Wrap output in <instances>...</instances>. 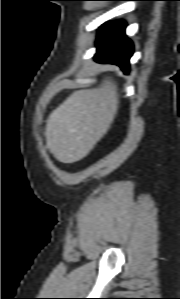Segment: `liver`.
<instances>
[{
    "mask_svg": "<svg viewBox=\"0 0 180 299\" xmlns=\"http://www.w3.org/2000/svg\"><path fill=\"white\" fill-rule=\"evenodd\" d=\"M111 79L93 89L73 92L48 117V150L60 162L71 164L86 157L110 128L119 106Z\"/></svg>",
    "mask_w": 180,
    "mask_h": 299,
    "instance_id": "6515ba94",
    "label": "liver"
}]
</instances>
